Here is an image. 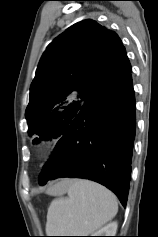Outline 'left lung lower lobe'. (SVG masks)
Wrapping results in <instances>:
<instances>
[{"instance_id": "obj_1", "label": "left lung lower lobe", "mask_w": 158, "mask_h": 237, "mask_svg": "<svg viewBox=\"0 0 158 237\" xmlns=\"http://www.w3.org/2000/svg\"><path fill=\"white\" fill-rule=\"evenodd\" d=\"M131 72L92 97L60 138L40 184L60 177L96 181L125 207L136 130Z\"/></svg>"}]
</instances>
